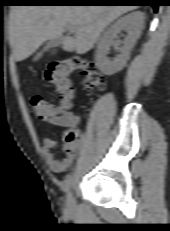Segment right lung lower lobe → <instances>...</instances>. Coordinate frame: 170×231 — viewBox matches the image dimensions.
Segmentation results:
<instances>
[{"label": "right lung lower lobe", "mask_w": 170, "mask_h": 231, "mask_svg": "<svg viewBox=\"0 0 170 231\" xmlns=\"http://www.w3.org/2000/svg\"><path fill=\"white\" fill-rule=\"evenodd\" d=\"M102 1H116V2H102ZM31 5H149L157 12L160 0H32L27 2Z\"/></svg>", "instance_id": "1"}]
</instances>
